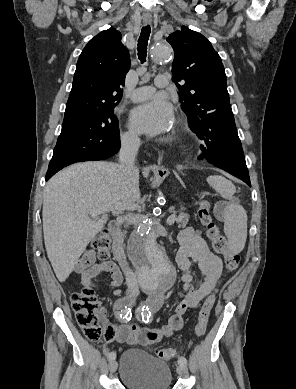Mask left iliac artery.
Returning <instances> with one entry per match:
<instances>
[{
  "label": "left iliac artery",
  "mask_w": 296,
  "mask_h": 389,
  "mask_svg": "<svg viewBox=\"0 0 296 389\" xmlns=\"http://www.w3.org/2000/svg\"><path fill=\"white\" fill-rule=\"evenodd\" d=\"M154 312V309L148 304H142L137 310H136V316L138 319H141L144 323H148L151 314ZM179 364L187 365V359L184 356H181L178 360Z\"/></svg>",
  "instance_id": "44dca946"
}]
</instances>
